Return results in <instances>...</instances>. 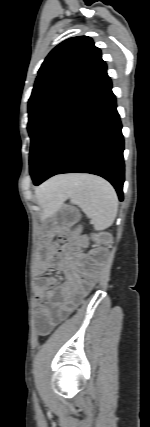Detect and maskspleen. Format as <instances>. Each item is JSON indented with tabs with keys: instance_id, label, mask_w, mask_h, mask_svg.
Wrapping results in <instances>:
<instances>
[{
	"instance_id": "obj_1",
	"label": "spleen",
	"mask_w": 150,
	"mask_h": 427,
	"mask_svg": "<svg viewBox=\"0 0 150 427\" xmlns=\"http://www.w3.org/2000/svg\"><path fill=\"white\" fill-rule=\"evenodd\" d=\"M65 177L48 188L46 198L49 203L59 204L70 198L91 219L95 230L110 227L118 212V197L112 185L103 178L88 174Z\"/></svg>"
}]
</instances>
